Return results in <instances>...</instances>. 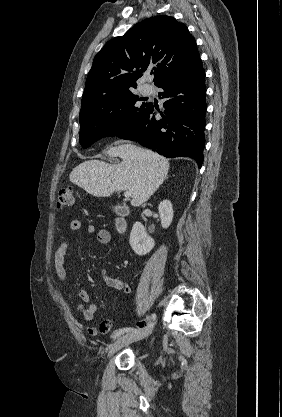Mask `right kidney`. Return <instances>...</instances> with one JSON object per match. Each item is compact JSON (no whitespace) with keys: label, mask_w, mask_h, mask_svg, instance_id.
Masks as SVG:
<instances>
[{"label":"right kidney","mask_w":282,"mask_h":417,"mask_svg":"<svg viewBox=\"0 0 282 417\" xmlns=\"http://www.w3.org/2000/svg\"><path fill=\"white\" fill-rule=\"evenodd\" d=\"M158 211L163 229H168L173 221V206L171 200H161ZM130 245L136 255H147L152 251L155 241L147 235L142 223H134L130 233Z\"/></svg>","instance_id":"ca27d5eb"}]
</instances>
